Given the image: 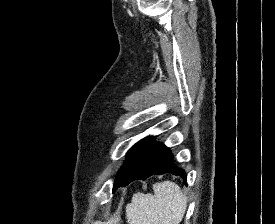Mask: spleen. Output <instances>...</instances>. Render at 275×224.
<instances>
[{
	"instance_id": "obj_1",
	"label": "spleen",
	"mask_w": 275,
	"mask_h": 224,
	"mask_svg": "<svg viewBox=\"0 0 275 224\" xmlns=\"http://www.w3.org/2000/svg\"><path fill=\"white\" fill-rule=\"evenodd\" d=\"M154 194L136 193L126 206L129 224H180L187 207V198L172 181L153 185Z\"/></svg>"
}]
</instances>
